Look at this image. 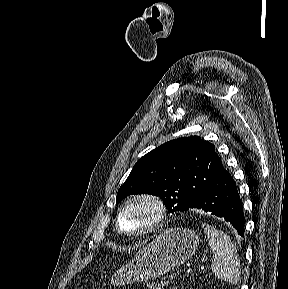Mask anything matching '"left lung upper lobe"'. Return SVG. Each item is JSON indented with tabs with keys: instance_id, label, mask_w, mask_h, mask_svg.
<instances>
[{
	"instance_id": "left-lung-upper-lobe-1",
	"label": "left lung upper lobe",
	"mask_w": 288,
	"mask_h": 289,
	"mask_svg": "<svg viewBox=\"0 0 288 289\" xmlns=\"http://www.w3.org/2000/svg\"><path fill=\"white\" fill-rule=\"evenodd\" d=\"M223 169L213 144L198 136L178 138L137 161L116 201L146 193L159 196L171 213L186 211Z\"/></svg>"
}]
</instances>
